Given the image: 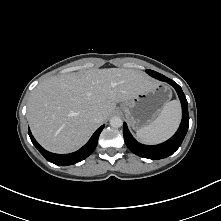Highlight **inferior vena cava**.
Masks as SVG:
<instances>
[{"label":"inferior vena cava","instance_id":"inferior-vena-cava-1","mask_svg":"<svg viewBox=\"0 0 221 221\" xmlns=\"http://www.w3.org/2000/svg\"><path fill=\"white\" fill-rule=\"evenodd\" d=\"M101 120H102V117L99 113L94 116V121L95 122L99 123V122H101Z\"/></svg>","mask_w":221,"mask_h":221}]
</instances>
